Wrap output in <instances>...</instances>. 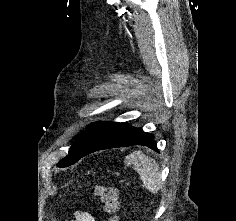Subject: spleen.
Returning <instances> with one entry per match:
<instances>
[{"label":"spleen","instance_id":"spleen-1","mask_svg":"<svg viewBox=\"0 0 236 221\" xmlns=\"http://www.w3.org/2000/svg\"><path fill=\"white\" fill-rule=\"evenodd\" d=\"M125 163L132 165L147 190L158 192L161 184L159 164L141 151H134L125 158Z\"/></svg>","mask_w":236,"mask_h":221}]
</instances>
